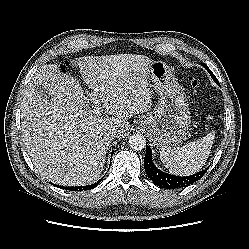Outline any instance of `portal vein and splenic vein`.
<instances>
[{"label": "portal vein and splenic vein", "instance_id": "18ae733b", "mask_svg": "<svg viewBox=\"0 0 249 249\" xmlns=\"http://www.w3.org/2000/svg\"><path fill=\"white\" fill-rule=\"evenodd\" d=\"M90 97L92 98V101L95 104L94 109H93V113L96 114V115H100L101 114V103H100V101L97 99L95 93L90 94Z\"/></svg>", "mask_w": 249, "mask_h": 249}]
</instances>
